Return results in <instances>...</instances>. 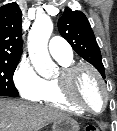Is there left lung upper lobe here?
Here are the masks:
<instances>
[{
	"label": "left lung upper lobe",
	"mask_w": 117,
	"mask_h": 131,
	"mask_svg": "<svg viewBox=\"0 0 117 131\" xmlns=\"http://www.w3.org/2000/svg\"><path fill=\"white\" fill-rule=\"evenodd\" d=\"M58 29L74 51L105 78L100 49L86 16L81 11L67 9L58 20Z\"/></svg>",
	"instance_id": "left-lung-upper-lobe-1"
}]
</instances>
